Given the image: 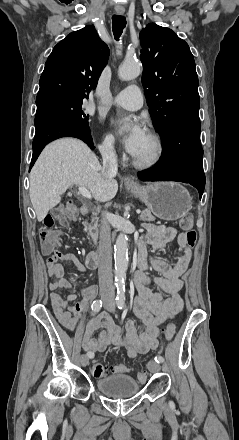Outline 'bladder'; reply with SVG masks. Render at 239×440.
<instances>
[{
    "instance_id": "1",
    "label": "bladder",
    "mask_w": 239,
    "mask_h": 440,
    "mask_svg": "<svg viewBox=\"0 0 239 440\" xmlns=\"http://www.w3.org/2000/svg\"><path fill=\"white\" fill-rule=\"evenodd\" d=\"M96 387L102 394L113 398H126L137 394L140 385L137 380L127 374H116L101 377Z\"/></svg>"
}]
</instances>
